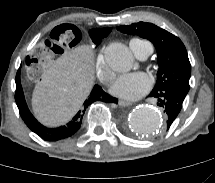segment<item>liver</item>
I'll use <instances>...</instances> for the list:
<instances>
[{
  "mask_svg": "<svg viewBox=\"0 0 215 183\" xmlns=\"http://www.w3.org/2000/svg\"><path fill=\"white\" fill-rule=\"evenodd\" d=\"M94 53L82 45L56 59L37 82L32 108L43 125L57 127L70 121L94 85Z\"/></svg>",
  "mask_w": 215,
  "mask_h": 183,
  "instance_id": "1",
  "label": "liver"
}]
</instances>
